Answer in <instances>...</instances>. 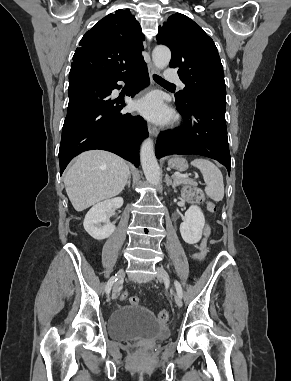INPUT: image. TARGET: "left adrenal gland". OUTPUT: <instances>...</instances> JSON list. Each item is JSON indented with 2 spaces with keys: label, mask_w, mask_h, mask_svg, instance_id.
<instances>
[{
  "label": "left adrenal gland",
  "mask_w": 291,
  "mask_h": 381,
  "mask_svg": "<svg viewBox=\"0 0 291 381\" xmlns=\"http://www.w3.org/2000/svg\"><path fill=\"white\" fill-rule=\"evenodd\" d=\"M166 184L167 186L171 185L172 188L174 189V192H176V183L172 182L168 174H166Z\"/></svg>",
  "instance_id": "1"
}]
</instances>
